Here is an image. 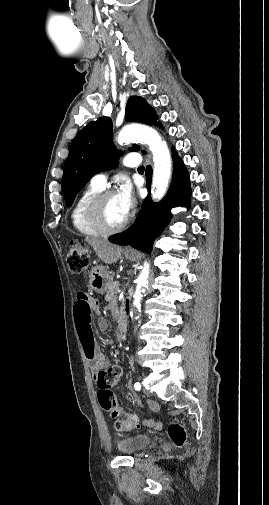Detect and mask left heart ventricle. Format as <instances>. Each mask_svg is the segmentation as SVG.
<instances>
[{
	"mask_svg": "<svg viewBox=\"0 0 269 505\" xmlns=\"http://www.w3.org/2000/svg\"><path fill=\"white\" fill-rule=\"evenodd\" d=\"M103 217L106 223L110 226H117L122 223L127 217L122 213L115 194L109 196L103 205Z\"/></svg>",
	"mask_w": 269,
	"mask_h": 505,
	"instance_id": "left-heart-ventricle-1",
	"label": "left heart ventricle"
}]
</instances>
